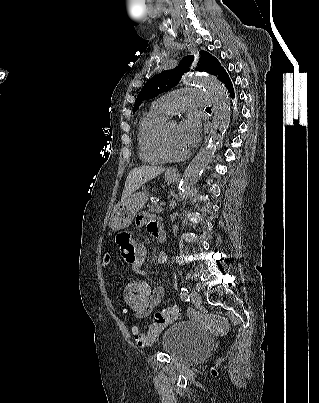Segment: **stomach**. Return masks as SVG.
<instances>
[{"label":"stomach","mask_w":319,"mask_h":403,"mask_svg":"<svg viewBox=\"0 0 319 403\" xmlns=\"http://www.w3.org/2000/svg\"><path fill=\"white\" fill-rule=\"evenodd\" d=\"M177 175L167 172L165 174V181L170 184L176 181ZM149 193L147 190L134 193L125 201L117 204L110 217L109 226L113 231H118L128 227L133 221L136 213L148 201Z\"/></svg>","instance_id":"stomach-1"}]
</instances>
